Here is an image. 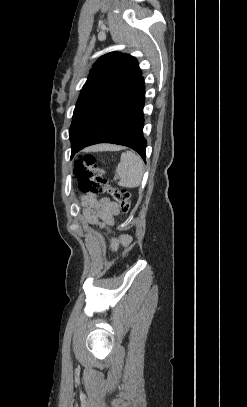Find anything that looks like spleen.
Instances as JSON below:
<instances>
[{"label":"spleen","instance_id":"spleen-1","mask_svg":"<svg viewBox=\"0 0 247 407\" xmlns=\"http://www.w3.org/2000/svg\"><path fill=\"white\" fill-rule=\"evenodd\" d=\"M143 165L141 157L136 153L132 151L122 153L117 166L118 185L125 188L138 187L143 177Z\"/></svg>","mask_w":247,"mask_h":407}]
</instances>
